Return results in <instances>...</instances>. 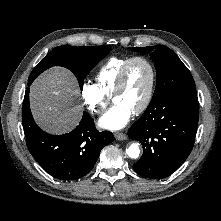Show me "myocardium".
Masks as SVG:
<instances>
[{
	"mask_svg": "<svg viewBox=\"0 0 221 221\" xmlns=\"http://www.w3.org/2000/svg\"><path fill=\"white\" fill-rule=\"evenodd\" d=\"M137 61L143 62L148 67L150 71V84H149L146 97L143 100L142 104L133 112V114L135 115H139L143 113L148 108L154 95L155 84H156V70H155L153 63L148 58L144 56H133L126 61V63L123 65L119 73L115 89L111 96L112 101H114L115 97L118 96L123 91L125 87V83H126L128 70L131 64Z\"/></svg>",
	"mask_w": 221,
	"mask_h": 221,
	"instance_id": "f54148a6",
	"label": "myocardium"
}]
</instances>
